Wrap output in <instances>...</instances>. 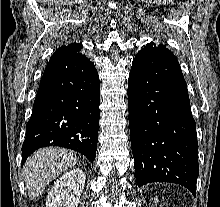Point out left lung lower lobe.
<instances>
[{"label":"left lung lower lobe","instance_id":"obj_1","mask_svg":"<svg viewBox=\"0 0 220 207\" xmlns=\"http://www.w3.org/2000/svg\"><path fill=\"white\" fill-rule=\"evenodd\" d=\"M128 107L137 185L171 182L195 196L196 125L180 65L164 45L149 43L133 59Z\"/></svg>","mask_w":220,"mask_h":207}]
</instances>
